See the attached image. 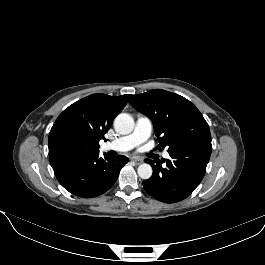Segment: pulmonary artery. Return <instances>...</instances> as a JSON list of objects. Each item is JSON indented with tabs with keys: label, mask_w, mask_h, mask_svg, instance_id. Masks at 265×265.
Instances as JSON below:
<instances>
[{
	"label": "pulmonary artery",
	"mask_w": 265,
	"mask_h": 265,
	"mask_svg": "<svg viewBox=\"0 0 265 265\" xmlns=\"http://www.w3.org/2000/svg\"><path fill=\"white\" fill-rule=\"evenodd\" d=\"M152 128V121L148 117H138L132 133L107 142L105 149H113L119 152L129 151L145 142L151 135ZM163 157L169 158V154L164 152Z\"/></svg>",
	"instance_id": "obj_1"
}]
</instances>
